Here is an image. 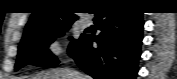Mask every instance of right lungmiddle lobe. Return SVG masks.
Wrapping results in <instances>:
<instances>
[{
	"label": "right lung middle lobe",
	"mask_w": 177,
	"mask_h": 79,
	"mask_svg": "<svg viewBox=\"0 0 177 79\" xmlns=\"http://www.w3.org/2000/svg\"><path fill=\"white\" fill-rule=\"evenodd\" d=\"M71 24L42 29L27 37L22 38L19 44L17 63L15 70L21 67L32 64L38 67L41 66H56L59 61L48 50L49 45L56 37L62 36L70 28ZM81 38V37H80ZM69 45V54L74 50L80 39H72Z\"/></svg>",
	"instance_id": "dd1d6c3e"
}]
</instances>
